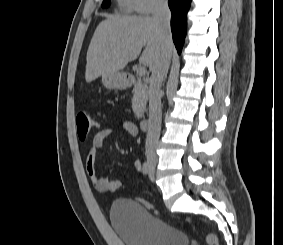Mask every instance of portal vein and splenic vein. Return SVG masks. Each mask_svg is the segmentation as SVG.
<instances>
[{
	"mask_svg": "<svg viewBox=\"0 0 283 245\" xmlns=\"http://www.w3.org/2000/svg\"><path fill=\"white\" fill-rule=\"evenodd\" d=\"M136 71H137V74H138L139 76H144V75L146 74V72H147V70H146V68H145L144 65H139V66L137 67Z\"/></svg>",
	"mask_w": 283,
	"mask_h": 245,
	"instance_id": "18ae733b",
	"label": "portal vein and splenic vein"
}]
</instances>
